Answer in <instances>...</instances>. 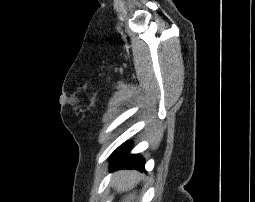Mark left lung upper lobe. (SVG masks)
<instances>
[{
    "label": "left lung upper lobe",
    "instance_id": "5c2ea615",
    "mask_svg": "<svg viewBox=\"0 0 255 202\" xmlns=\"http://www.w3.org/2000/svg\"><path fill=\"white\" fill-rule=\"evenodd\" d=\"M123 147H124V145H123V146H120V147L114 152V154H113V156L111 157V159H112L115 155H117V154L119 153V151H120Z\"/></svg>",
    "mask_w": 255,
    "mask_h": 202
}]
</instances>
